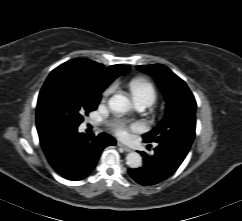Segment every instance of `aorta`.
I'll return each instance as SVG.
<instances>
[{
	"instance_id": "762f6f07",
	"label": "aorta",
	"mask_w": 242,
	"mask_h": 221,
	"mask_svg": "<svg viewBox=\"0 0 242 221\" xmlns=\"http://www.w3.org/2000/svg\"><path fill=\"white\" fill-rule=\"evenodd\" d=\"M108 104L110 109L116 113H127L132 108L129 98L121 94L113 95ZM126 164L133 169L139 168L142 166V157L137 152H130L126 156Z\"/></svg>"
}]
</instances>
